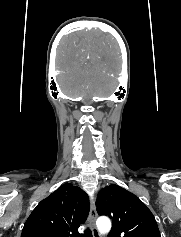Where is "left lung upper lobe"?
<instances>
[{
	"mask_svg": "<svg viewBox=\"0 0 181 237\" xmlns=\"http://www.w3.org/2000/svg\"><path fill=\"white\" fill-rule=\"evenodd\" d=\"M96 207L99 215L112 219L108 237H161L148 207L133 193L116 184L100 190Z\"/></svg>",
	"mask_w": 181,
	"mask_h": 237,
	"instance_id": "1",
	"label": "left lung upper lobe"
}]
</instances>
